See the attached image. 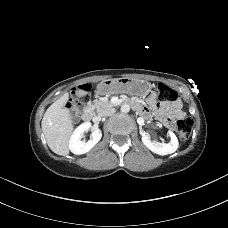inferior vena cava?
I'll return each mask as SVG.
<instances>
[{
  "instance_id": "1",
  "label": "inferior vena cava",
  "mask_w": 228,
  "mask_h": 228,
  "mask_svg": "<svg viewBox=\"0 0 228 228\" xmlns=\"http://www.w3.org/2000/svg\"><path fill=\"white\" fill-rule=\"evenodd\" d=\"M115 113V108H107L105 110H103L101 113H99L100 117H104V116H111Z\"/></svg>"
}]
</instances>
